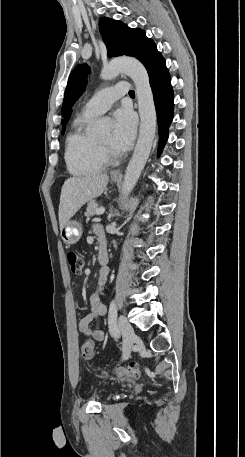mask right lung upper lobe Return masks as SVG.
Listing matches in <instances>:
<instances>
[{
    "label": "right lung upper lobe",
    "instance_id": "right-lung-upper-lobe-1",
    "mask_svg": "<svg viewBox=\"0 0 245 457\" xmlns=\"http://www.w3.org/2000/svg\"><path fill=\"white\" fill-rule=\"evenodd\" d=\"M69 116H70V115H68V116L66 117V119L64 120V123H66V121L68 120ZM63 130H65V127H64V126H63Z\"/></svg>",
    "mask_w": 245,
    "mask_h": 457
}]
</instances>
